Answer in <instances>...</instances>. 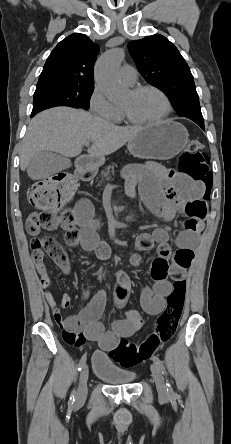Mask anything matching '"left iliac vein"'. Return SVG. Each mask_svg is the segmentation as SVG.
Here are the masks:
<instances>
[{"instance_id":"1","label":"left iliac vein","mask_w":231,"mask_h":444,"mask_svg":"<svg viewBox=\"0 0 231 444\" xmlns=\"http://www.w3.org/2000/svg\"><path fill=\"white\" fill-rule=\"evenodd\" d=\"M150 368H151L152 376L155 380L156 388H157L159 395L161 397H165L167 394L166 385H165L164 378H163L160 368L158 367V365L155 362L151 364Z\"/></svg>"}]
</instances>
